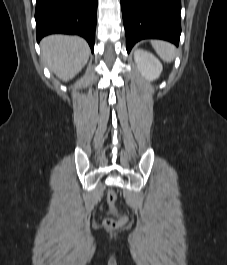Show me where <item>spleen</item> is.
Returning a JSON list of instances; mask_svg holds the SVG:
<instances>
[{
	"label": "spleen",
	"mask_w": 227,
	"mask_h": 265,
	"mask_svg": "<svg viewBox=\"0 0 227 265\" xmlns=\"http://www.w3.org/2000/svg\"><path fill=\"white\" fill-rule=\"evenodd\" d=\"M153 48L161 59L166 62L173 61L176 55V48L169 42L153 40L151 41Z\"/></svg>",
	"instance_id": "obj_1"
}]
</instances>
